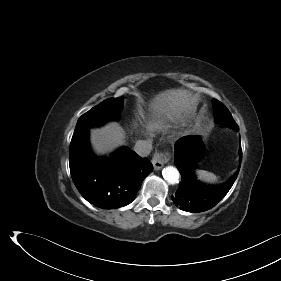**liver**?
<instances>
[{
  "label": "liver",
  "instance_id": "liver-1",
  "mask_svg": "<svg viewBox=\"0 0 281 281\" xmlns=\"http://www.w3.org/2000/svg\"><path fill=\"white\" fill-rule=\"evenodd\" d=\"M156 123L182 120L191 109V94L187 90L169 89L156 95L149 104ZM125 131L116 122L91 130V145L98 155L112 152L125 143Z\"/></svg>",
  "mask_w": 281,
  "mask_h": 281
}]
</instances>
